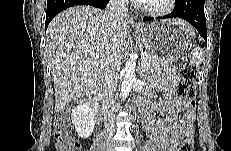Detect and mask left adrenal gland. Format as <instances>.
Instances as JSON below:
<instances>
[{
  "label": "left adrenal gland",
  "mask_w": 231,
  "mask_h": 151,
  "mask_svg": "<svg viewBox=\"0 0 231 151\" xmlns=\"http://www.w3.org/2000/svg\"><path fill=\"white\" fill-rule=\"evenodd\" d=\"M142 72H143V71H140V74H141V75H142Z\"/></svg>",
  "instance_id": "left-adrenal-gland-1"
}]
</instances>
